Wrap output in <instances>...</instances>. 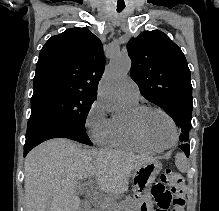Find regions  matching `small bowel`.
I'll return each instance as SVG.
<instances>
[{"label": "small bowel", "mask_w": 219, "mask_h": 211, "mask_svg": "<svg viewBox=\"0 0 219 211\" xmlns=\"http://www.w3.org/2000/svg\"><path fill=\"white\" fill-rule=\"evenodd\" d=\"M154 198L157 204L156 211H169L172 202L170 192L164 189H156Z\"/></svg>", "instance_id": "1"}]
</instances>
